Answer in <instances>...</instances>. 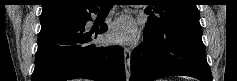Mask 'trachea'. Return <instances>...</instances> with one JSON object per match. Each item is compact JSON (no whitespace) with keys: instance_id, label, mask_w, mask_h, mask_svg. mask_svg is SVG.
<instances>
[{"instance_id":"obj_1","label":"trachea","mask_w":237,"mask_h":81,"mask_svg":"<svg viewBox=\"0 0 237 81\" xmlns=\"http://www.w3.org/2000/svg\"><path fill=\"white\" fill-rule=\"evenodd\" d=\"M116 1H111V0H107V1H103L101 2L100 6V10H107L110 9L113 5H116Z\"/></svg>"}]
</instances>
